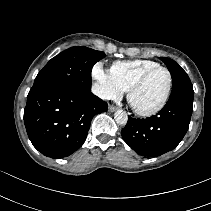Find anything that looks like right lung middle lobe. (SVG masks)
I'll use <instances>...</instances> for the list:
<instances>
[{
  "mask_svg": "<svg viewBox=\"0 0 211 211\" xmlns=\"http://www.w3.org/2000/svg\"><path fill=\"white\" fill-rule=\"evenodd\" d=\"M104 52L87 47H71L52 58L38 73L33 86L60 85L80 91L91 90V70Z\"/></svg>",
  "mask_w": 211,
  "mask_h": 211,
  "instance_id": "right-lung-middle-lobe-1",
  "label": "right lung middle lobe"
}]
</instances>
